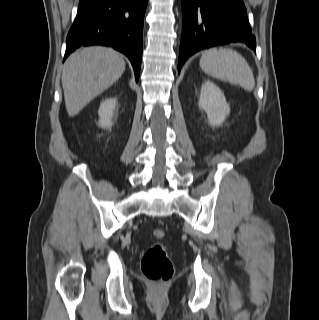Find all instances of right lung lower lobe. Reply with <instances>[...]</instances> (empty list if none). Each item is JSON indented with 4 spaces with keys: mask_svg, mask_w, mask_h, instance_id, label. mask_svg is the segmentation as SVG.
<instances>
[{
    "mask_svg": "<svg viewBox=\"0 0 319 320\" xmlns=\"http://www.w3.org/2000/svg\"><path fill=\"white\" fill-rule=\"evenodd\" d=\"M148 0H79L66 41L67 56L81 45H106L124 53L139 78Z\"/></svg>",
    "mask_w": 319,
    "mask_h": 320,
    "instance_id": "right-lung-lower-lobe-1",
    "label": "right lung lower lobe"
}]
</instances>
